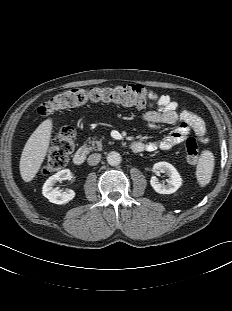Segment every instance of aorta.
Listing matches in <instances>:
<instances>
[{
  "mask_svg": "<svg viewBox=\"0 0 232 311\" xmlns=\"http://www.w3.org/2000/svg\"><path fill=\"white\" fill-rule=\"evenodd\" d=\"M121 155L118 152L111 151L107 155V162L111 166H117L121 163Z\"/></svg>",
  "mask_w": 232,
  "mask_h": 311,
  "instance_id": "obj_1",
  "label": "aorta"
}]
</instances>
